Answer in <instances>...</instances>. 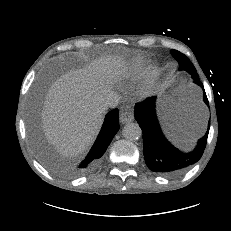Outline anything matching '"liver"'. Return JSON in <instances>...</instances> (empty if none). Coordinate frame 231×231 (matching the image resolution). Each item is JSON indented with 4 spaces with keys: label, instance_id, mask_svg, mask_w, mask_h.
Wrapping results in <instances>:
<instances>
[{
    "label": "liver",
    "instance_id": "1",
    "mask_svg": "<svg viewBox=\"0 0 231 231\" xmlns=\"http://www.w3.org/2000/svg\"><path fill=\"white\" fill-rule=\"evenodd\" d=\"M126 71L122 57L101 56L50 86L41 111L42 128L63 157L78 156L93 144L107 111L106 96ZM31 136L34 143L32 132Z\"/></svg>",
    "mask_w": 231,
    "mask_h": 231
}]
</instances>
